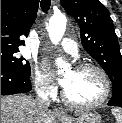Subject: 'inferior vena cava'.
<instances>
[{
  "mask_svg": "<svg viewBox=\"0 0 122 123\" xmlns=\"http://www.w3.org/2000/svg\"><path fill=\"white\" fill-rule=\"evenodd\" d=\"M35 102H36L39 114H43L50 105V100L47 97L42 98L41 96H37V98L35 99Z\"/></svg>",
  "mask_w": 122,
  "mask_h": 123,
  "instance_id": "inferior-vena-cava-1",
  "label": "inferior vena cava"
}]
</instances>
